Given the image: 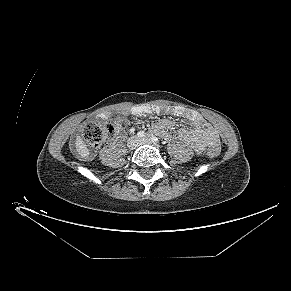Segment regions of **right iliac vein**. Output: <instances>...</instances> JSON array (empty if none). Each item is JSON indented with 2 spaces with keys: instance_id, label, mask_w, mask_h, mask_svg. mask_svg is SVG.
Returning a JSON list of instances; mask_svg holds the SVG:
<instances>
[{
  "instance_id": "right-iliac-vein-1",
  "label": "right iliac vein",
  "mask_w": 291,
  "mask_h": 291,
  "mask_svg": "<svg viewBox=\"0 0 291 291\" xmlns=\"http://www.w3.org/2000/svg\"><path fill=\"white\" fill-rule=\"evenodd\" d=\"M137 139L136 138H131L129 141H128V143H127V145H128V147L130 148V149H133V148H135L136 146H137Z\"/></svg>"
}]
</instances>
